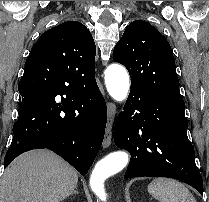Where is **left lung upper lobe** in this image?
Wrapping results in <instances>:
<instances>
[{
	"instance_id": "obj_1",
	"label": "left lung upper lobe",
	"mask_w": 209,
	"mask_h": 202,
	"mask_svg": "<svg viewBox=\"0 0 209 202\" xmlns=\"http://www.w3.org/2000/svg\"><path fill=\"white\" fill-rule=\"evenodd\" d=\"M113 60L127 68L131 87L183 100L170 44L149 23L136 20L127 26L114 48Z\"/></svg>"
}]
</instances>
